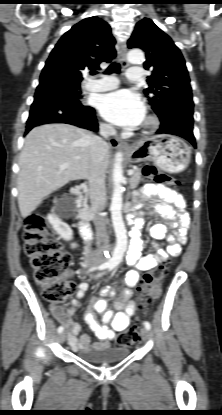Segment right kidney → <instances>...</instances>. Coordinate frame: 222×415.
<instances>
[{
  "instance_id": "obj_1",
  "label": "right kidney",
  "mask_w": 222,
  "mask_h": 415,
  "mask_svg": "<svg viewBox=\"0 0 222 415\" xmlns=\"http://www.w3.org/2000/svg\"><path fill=\"white\" fill-rule=\"evenodd\" d=\"M49 223L52 225L53 229L66 241H69L73 237V231L70 226L60 220L58 215L55 212H52L47 217Z\"/></svg>"
}]
</instances>
